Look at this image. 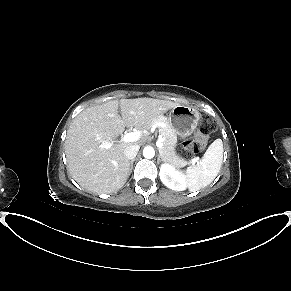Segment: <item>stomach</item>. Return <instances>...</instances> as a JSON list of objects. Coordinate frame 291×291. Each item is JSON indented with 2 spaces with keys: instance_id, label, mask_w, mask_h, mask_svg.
Listing matches in <instances>:
<instances>
[{
  "instance_id": "1",
  "label": "stomach",
  "mask_w": 291,
  "mask_h": 291,
  "mask_svg": "<svg viewBox=\"0 0 291 291\" xmlns=\"http://www.w3.org/2000/svg\"><path fill=\"white\" fill-rule=\"evenodd\" d=\"M201 118V114L192 107L178 105L169 113V122L172 129L179 136L191 135Z\"/></svg>"
}]
</instances>
